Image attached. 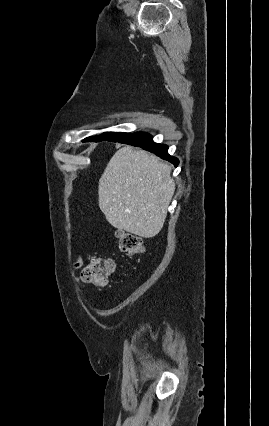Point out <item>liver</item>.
I'll list each match as a JSON object with an SVG mask.
<instances>
[{"label":"liver","mask_w":269,"mask_h":426,"mask_svg":"<svg viewBox=\"0 0 269 426\" xmlns=\"http://www.w3.org/2000/svg\"><path fill=\"white\" fill-rule=\"evenodd\" d=\"M174 191L170 165L144 150L124 146L99 180V207L118 230L152 238L163 227Z\"/></svg>","instance_id":"liver-1"}]
</instances>
